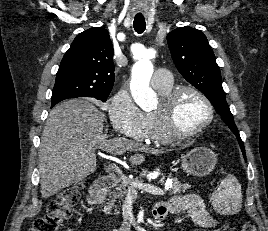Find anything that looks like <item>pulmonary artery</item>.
I'll return each mask as SVG.
<instances>
[{
    "mask_svg": "<svg viewBox=\"0 0 268 231\" xmlns=\"http://www.w3.org/2000/svg\"><path fill=\"white\" fill-rule=\"evenodd\" d=\"M172 81L170 72L166 68L157 69L151 78L154 87L169 84Z\"/></svg>",
    "mask_w": 268,
    "mask_h": 231,
    "instance_id": "pulmonary-artery-1",
    "label": "pulmonary artery"
}]
</instances>
